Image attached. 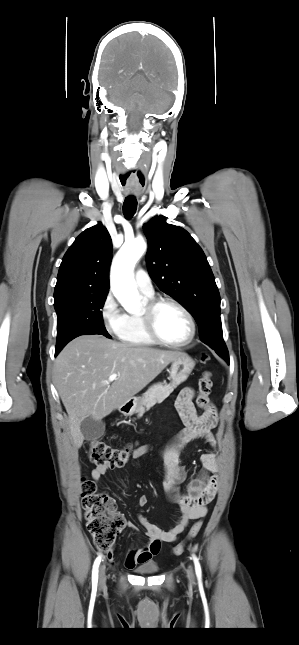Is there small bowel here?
I'll use <instances>...</instances> for the list:
<instances>
[{
    "instance_id": "small-bowel-1",
    "label": "small bowel",
    "mask_w": 299,
    "mask_h": 645,
    "mask_svg": "<svg viewBox=\"0 0 299 645\" xmlns=\"http://www.w3.org/2000/svg\"><path fill=\"white\" fill-rule=\"evenodd\" d=\"M194 396L192 388H184L177 396L175 407L184 423V428L177 438L159 453L164 463L163 486L167 500L179 507L181 515L171 529L163 530L149 522L144 515L138 514L137 519L145 528L148 542L143 547H132L128 551L124 560L126 568H134L137 564L150 561L160 552L163 542L176 541L191 521L206 515L207 505L217 493L218 477L215 473L219 469V462L215 449L218 441L212 432L217 424V412L215 406L208 401L203 407V413L197 415L193 403ZM196 439H203L211 450L200 455L201 470L183 490L180 484L187 477V469L180 458V451ZM149 451L148 446L138 447L132 452V457L142 458ZM110 468L108 465H97L91 472L93 481L98 482ZM148 501L146 495H141L138 504L144 507ZM127 525L131 528L135 527L132 522H128ZM107 557L110 561L113 560L112 551L107 554Z\"/></svg>"
}]
</instances>
